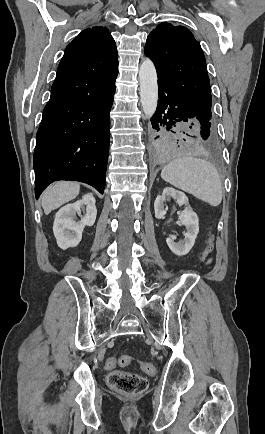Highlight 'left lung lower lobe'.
<instances>
[{
	"label": "left lung lower lobe",
	"mask_w": 265,
	"mask_h": 434,
	"mask_svg": "<svg viewBox=\"0 0 265 434\" xmlns=\"http://www.w3.org/2000/svg\"><path fill=\"white\" fill-rule=\"evenodd\" d=\"M158 88V106L151 118L153 128L159 131L166 125V130H170L177 122H191L194 146L203 153H217L220 149V140L214 122L206 118L204 112H196L178 92L160 79ZM155 140L154 150L162 155L176 153L180 147L163 136H157Z\"/></svg>",
	"instance_id": "left-lung-lower-lobe-1"
}]
</instances>
